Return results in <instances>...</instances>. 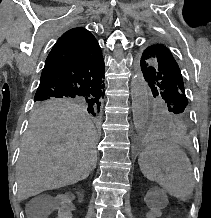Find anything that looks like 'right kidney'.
<instances>
[{
    "instance_id": "right-kidney-1",
    "label": "right kidney",
    "mask_w": 211,
    "mask_h": 218,
    "mask_svg": "<svg viewBox=\"0 0 211 218\" xmlns=\"http://www.w3.org/2000/svg\"><path fill=\"white\" fill-rule=\"evenodd\" d=\"M69 193H60L59 197H52V202H56L57 206H54V211H57L60 215H55L54 218H72L71 214H74L73 202L75 198H69ZM64 206V207H63Z\"/></svg>"
}]
</instances>
